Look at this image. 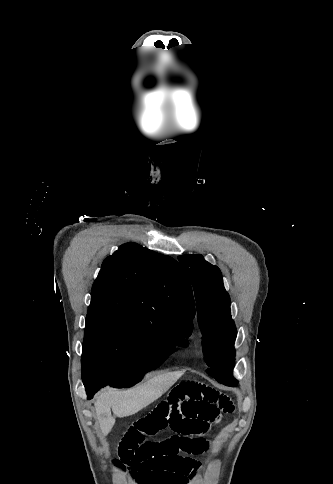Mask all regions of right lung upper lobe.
I'll return each mask as SVG.
<instances>
[{"instance_id":"obj_1","label":"right lung upper lobe","mask_w":333,"mask_h":484,"mask_svg":"<svg viewBox=\"0 0 333 484\" xmlns=\"http://www.w3.org/2000/svg\"><path fill=\"white\" fill-rule=\"evenodd\" d=\"M88 312L180 318L193 327L195 306L189 279L177 261L129 242L104 260Z\"/></svg>"}]
</instances>
